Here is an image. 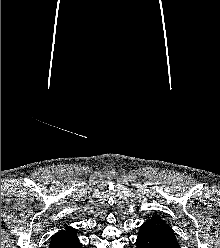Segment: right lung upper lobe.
Wrapping results in <instances>:
<instances>
[{
	"label": "right lung upper lobe",
	"mask_w": 220,
	"mask_h": 248,
	"mask_svg": "<svg viewBox=\"0 0 220 248\" xmlns=\"http://www.w3.org/2000/svg\"><path fill=\"white\" fill-rule=\"evenodd\" d=\"M76 232L77 230L73 229L72 227H65L64 230L58 231L55 235L52 236L49 248H55V246L58 244L75 237Z\"/></svg>",
	"instance_id": "cb5924a9"
}]
</instances>
